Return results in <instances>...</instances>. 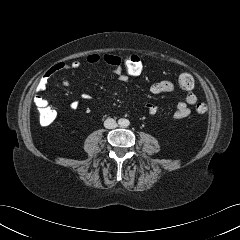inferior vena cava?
<instances>
[{
  "label": "inferior vena cava",
  "mask_w": 240,
  "mask_h": 240,
  "mask_svg": "<svg viewBox=\"0 0 240 240\" xmlns=\"http://www.w3.org/2000/svg\"><path fill=\"white\" fill-rule=\"evenodd\" d=\"M104 127L107 129H114L117 127V123L113 118H107L104 122Z\"/></svg>",
  "instance_id": "inferior-vena-cava-1"
}]
</instances>
